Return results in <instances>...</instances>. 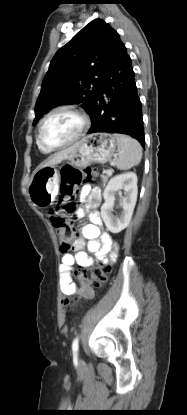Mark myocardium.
Returning a JSON list of instances; mask_svg holds the SVG:
<instances>
[{
    "label": "myocardium",
    "mask_w": 187,
    "mask_h": 415,
    "mask_svg": "<svg viewBox=\"0 0 187 415\" xmlns=\"http://www.w3.org/2000/svg\"><path fill=\"white\" fill-rule=\"evenodd\" d=\"M60 111H69V112L74 113L80 119L81 125H80V128H79L78 132L76 133V135L72 139H70L69 141H67V142H65L61 145L50 146V145L45 144L42 140V137H41L42 127H43L45 121L49 117H51L53 114H55L57 112H60ZM88 127H89V119L82 110H80L79 108H77L74 105H69V104L59 105V106H56V107L52 108L50 111H48L43 116V118L40 120V122L38 124V128H37V142L45 150H48V151L60 150V149L66 148V147L76 143L84 135V133L86 132Z\"/></svg>",
    "instance_id": "f54148a6"
}]
</instances>
